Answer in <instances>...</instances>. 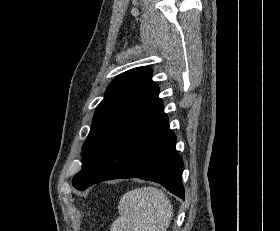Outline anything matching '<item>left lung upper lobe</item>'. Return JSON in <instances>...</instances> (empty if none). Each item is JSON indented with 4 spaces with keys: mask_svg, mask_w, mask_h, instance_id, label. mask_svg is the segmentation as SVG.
Returning <instances> with one entry per match:
<instances>
[{
    "mask_svg": "<svg viewBox=\"0 0 280 231\" xmlns=\"http://www.w3.org/2000/svg\"><path fill=\"white\" fill-rule=\"evenodd\" d=\"M152 70L137 67L118 75L97 106L91 130L83 144L82 168L73 180L78 187L104 146L121 130L157 109L159 88L151 80Z\"/></svg>",
    "mask_w": 280,
    "mask_h": 231,
    "instance_id": "left-lung-upper-lobe-1",
    "label": "left lung upper lobe"
}]
</instances>
